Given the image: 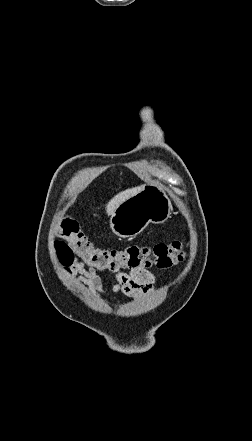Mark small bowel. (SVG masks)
Returning <instances> with one entry per match:
<instances>
[{
	"label": "small bowel",
	"mask_w": 252,
	"mask_h": 441,
	"mask_svg": "<svg viewBox=\"0 0 252 441\" xmlns=\"http://www.w3.org/2000/svg\"><path fill=\"white\" fill-rule=\"evenodd\" d=\"M71 271L77 275V283L83 284L97 297L106 290L103 281L93 267L85 268L83 262L74 261L71 264ZM155 276L144 267L131 269L127 273H117L110 289L114 292H121L128 297L139 299L150 293L153 289Z\"/></svg>",
	"instance_id": "c3829d8e"
}]
</instances>
